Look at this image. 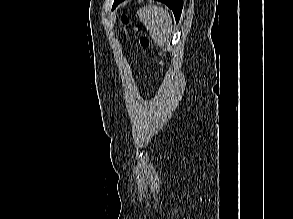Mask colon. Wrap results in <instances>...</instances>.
Returning a JSON list of instances; mask_svg holds the SVG:
<instances>
[{
	"label": "colon",
	"instance_id": "colon-1",
	"mask_svg": "<svg viewBox=\"0 0 293 219\" xmlns=\"http://www.w3.org/2000/svg\"><path fill=\"white\" fill-rule=\"evenodd\" d=\"M122 22L124 24H127L128 23V20L126 17H123L122 18ZM139 43L140 45L143 47V48H150L151 47V40L148 36L144 35V34H140L139 36ZM161 66H163V62L160 61L159 62Z\"/></svg>",
	"mask_w": 293,
	"mask_h": 219
}]
</instances>
